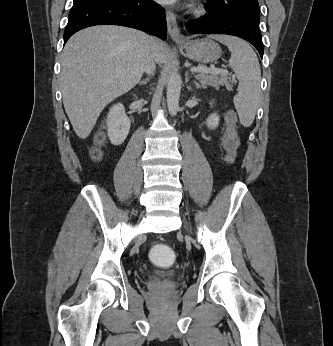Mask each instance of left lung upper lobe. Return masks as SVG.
<instances>
[{
    "label": "left lung upper lobe",
    "mask_w": 333,
    "mask_h": 346,
    "mask_svg": "<svg viewBox=\"0 0 333 346\" xmlns=\"http://www.w3.org/2000/svg\"><path fill=\"white\" fill-rule=\"evenodd\" d=\"M208 4L223 14L243 17L256 24L260 22V9L257 0H207Z\"/></svg>",
    "instance_id": "left-lung-upper-lobe-1"
}]
</instances>
